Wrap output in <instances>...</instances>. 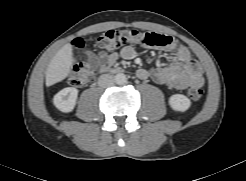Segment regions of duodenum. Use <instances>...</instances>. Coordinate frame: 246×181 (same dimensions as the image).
<instances>
[{"label":"duodenum","instance_id":"obj_1","mask_svg":"<svg viewBox=\"0 0 246 181\" xmlns=\"http://www.w3.org/2000/svg\"><path fill=\"white\" fill-rule=\"evenodd\" d=\"M102 72L103 73H106V72H121V69L120 68H104V69H102Z\"/></svg>","mask_w":246,"mask_h":181}]
</instances>
